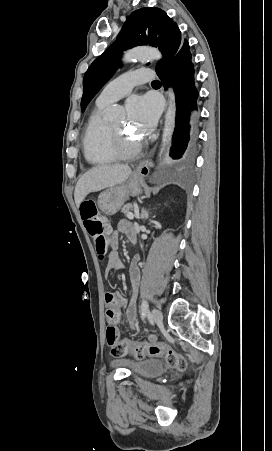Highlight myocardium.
I'll use <instances>...</instances> for the list:
<instances>
[{"instance_id":"f54148a6","label":"myocardium","mask_w":272,"mask_h":451,"mask_svg":"<svg viewBox=\"0 0 272 451\" xmlns=\"http://www.w3.org/2000/svg\"><path fill=\"white\" fill-rule=\"evenodd\" d=\"M108 140L112 142L115 152L120 155H131L136 149V143L130 142L123 135L117 134L112 126L108 128Z\"/></svg>"}]
</instances>
